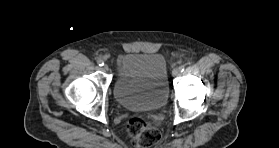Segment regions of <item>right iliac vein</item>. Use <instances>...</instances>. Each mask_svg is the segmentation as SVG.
Masks as SVG:
<instances>
[{"label": "right iliac vein", "instance_id": "right-iliac-vein-1", "mask_svg": "<svg viewBox=\"0 0 279 148\" xmlns=\"http://www.w3.org/2000/svg\"><path fill=\"white\" fill-rule=\"evenodd\" d=\"M102 69H103V71L107 72L109 70V67H108V65L105 64V65H103Z\"/></svg>", "mask_w": 279, "mask_h": 148}]
</instances>
